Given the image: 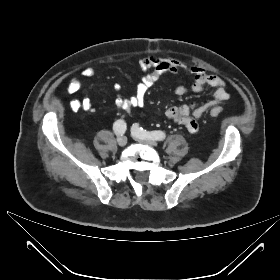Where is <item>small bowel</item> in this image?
Returning a JSON list of instances; mask_svg holds the SVG:
<instances>
[{"mask_svg": "<svg viewBox=\"0 0 280 280\" xmlns=\"http://www.w3.org/2000/svg\"><path fill=\"white\" fill-rule=\"evenodd\" d=\"M139 67L142 72L141 80L135 88V92L129 98L117 96L115 104L118 109L129 114L135 107L144 104L149 88L166 73L178 74L186 72L193 77L191 86L178 85L175 93L183 96L188 92H202L206 89H212V99L204 104L198 105L195 101L172 106L166 110V117L180 125H183L189 132L196 133L199 129L198 120L209 110L218 108L221 103L229 99V93L226 90V82L217 75L209 74L206 70L197 65L188 66L172 57L146 56L140 59ZM95 69L87 66L83 68L82 75L85 78L95 76ZM82 88L81 80L73 78L68 83V90L71 94L78 93ZM119 90V86H115ZM70 108L77 111H92V103L87 98L73 99L69 103Z\"/></svg>", "mask_w": 280, "mask_h": 280, "instance_id": "small-bowel-1", "label": "small bowel"}]
</instances>
